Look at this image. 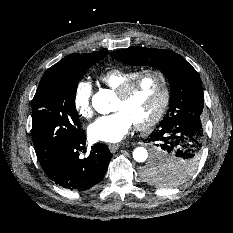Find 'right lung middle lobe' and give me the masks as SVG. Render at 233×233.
I'll return each mask as SVG.
<instances>
[{"mask_svg": "<svg viewBox=\"0 0 233 233\" xmlns=\"http://www.w3.org/2000/svg\"><path fill=\"white\" fill-rule=\"evenodd\" d=\"M106 54L40 82L32 103V139L40 163L54 160L80 134L81 124L75 107L78 81Z\"/></svg>", "mask_w": 233, "mask_h": 233, "instance_id": "dd1d6c3e", "label": "right lung middle lobe"}]
</instances>
